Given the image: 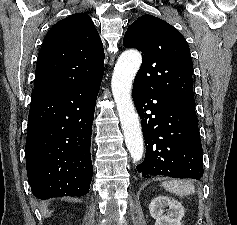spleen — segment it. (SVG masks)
I'll return each instance as SVG.
<instances>
[{"label": "spleen", "mask_w": 237, "mask_h": 225, "mask_svg": "<svg viewBox=\"0 0 237 225\" xmlns=\"http://www.w3.org/2000/svg\"><path fill=\"white\" fill-rule=\"evenodd\" d=\"M165 190L178 196H186L195 193V186L190 181L169 180L162 183Z\"/></svg>", "instance_id": "1"}]
</instances>
